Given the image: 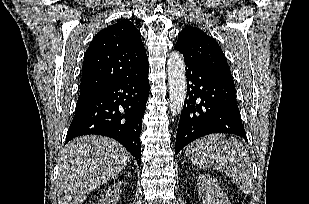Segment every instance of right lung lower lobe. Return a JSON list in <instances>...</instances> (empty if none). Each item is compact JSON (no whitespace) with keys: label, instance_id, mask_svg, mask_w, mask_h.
<instances>
[{"label":"right lung lower lobe","instance_id":"1","mask_svg":"<svg viewBox=\"0 0 309 204\" xmlns=\"http://www.w3.org/2000/svg\"><path fill=\"white\" fill-rule=\"evenodd\" d=\"M149 67L142 73L78 98L66 142L89 134L120 142L141 163L140 133L149 95Z\"/></svg>","mask_w":309,"mask_h":204}]
</instances>
